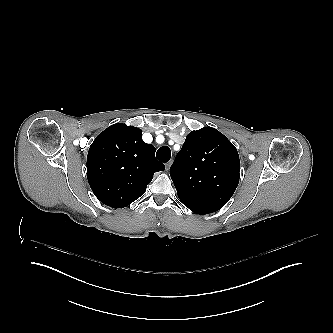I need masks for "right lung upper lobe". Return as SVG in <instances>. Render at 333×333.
<instances>
[{
  "label": "right lung upper lobe",
  "mask_w": 333,
  "mask_h": 333,
  "mask_svg": "<svg viewBox=\"0 0 333 333\" xmlns=\"http://www.w3.org/2000/svg\"><path fill=\"white\" fill-rule=\"evenodd\" d=\"M165 166L155 158V147L142 140V130L117 123L101 132L87 156V178L95 196L122 208L146 191L153 174Z\"/></svg>",
  "instance_id": "right-lung-upper-lobe-1"
}]
</instances>
